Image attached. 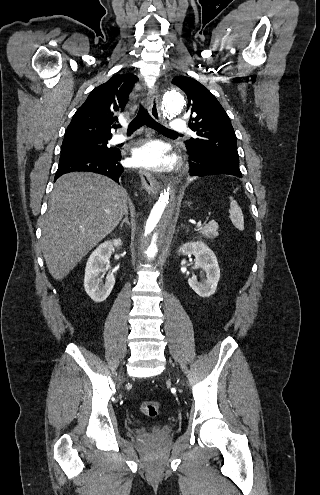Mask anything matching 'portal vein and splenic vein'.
<instances>
[{
    "instance_id": "18ae733b",
    "label": "portal vein and splenic vein",
    "mask_w": 320,
    "mask_h": 495,
    "mask_svg": "<svg viewBox=\"0 0 320 495\" xmlns=\"http://www.w3.org/2000/svg\"><path fill=\"white\" fill-rule=\"evenodd\" d=\"M201 228H202L201 223H198V225H197V229L199 230V229H201Z\"/></svg>"
}]
</instances>
